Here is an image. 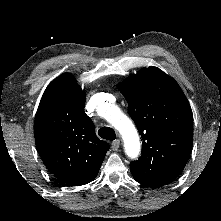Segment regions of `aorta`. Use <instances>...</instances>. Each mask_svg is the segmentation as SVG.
<instances>
[{"instance_id":"aorta-1","label":"aorta","mask_w":221,"mask_h":221,"mask_svg":"<svg viewBox=\"0 0 221 221\" xmlns=\"http://www.w3.org/2000/svg\"><path fill=\"white\" fill-rule=\"evenodd\" d=\"M99 112H104L105 119L120 132L126 141L127 154L132 157L137 156L140 151V144L132 121L115 105L101 104Z\"/></svg>"}]
</instances>
